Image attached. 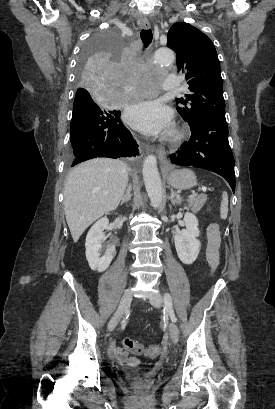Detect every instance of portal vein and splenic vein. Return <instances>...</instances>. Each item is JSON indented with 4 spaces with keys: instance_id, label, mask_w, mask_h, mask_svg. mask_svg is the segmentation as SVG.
Masks as SVG:
<instances>
[{
    "instance_id": "1",
    "label": "portal vein and splenic vein",
    "mask_w": 275,
    "mask_h": 409,
    "mask_svg": "<svg viewBox=\"0 0 275 409\" xmlns=\"http://www.w3.org/2000/svg\"><path fill=\"white\" fill-rule=\"evenodd\" d=\"M202 190H206V186H202ZM189 198H193V194H191V196H189Z\"/></svg>"
}]
</instances>
